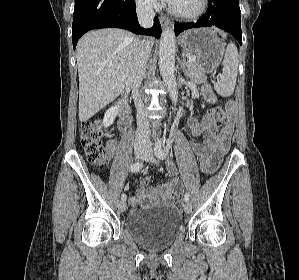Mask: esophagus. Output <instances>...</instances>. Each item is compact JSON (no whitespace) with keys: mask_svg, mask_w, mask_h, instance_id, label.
Masks as SVG:
<instances>
[{"mask_svg":"<svg viewBox=\"0 0 299 280\" xmlns=\"http://www.w3.org/2000/svg\"><path fill=\"white\" fill-rule=\"evenodd\" d=\"M160 23L163 28L171 26V21L166 17H160Z\"/></svg>","mask_w":299,"mask_h":280,"instance_id":"1","label":"esophagus"}]
</instances>
